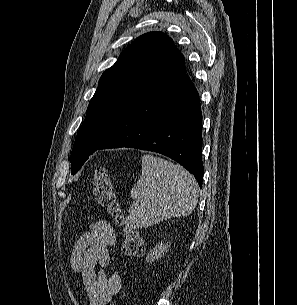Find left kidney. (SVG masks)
<instances>
[{"instance_id":"obj_1","label":"left kidney","mask_w":297,"mask_h":305,"mask_svg":"<svg viewBox=\"0 0 297 305\" xmlns=\"http://www.w3.org/2000/svg\"><path fill=\"white\" fill-rule=\"evenodd\" d=\"M169 248V245L166 243L164 244L163 242H159V244H156V246L150 250L146 256V261L147 262H154L158 258L162 257L165 252H167V249Z\"/></svg>"}]
</instances>
